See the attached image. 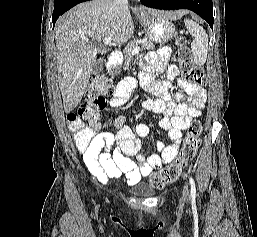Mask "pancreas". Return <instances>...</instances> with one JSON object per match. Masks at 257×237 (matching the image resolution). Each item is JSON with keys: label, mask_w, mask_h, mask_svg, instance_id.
<instances>
[{"label": "pancreas", "mask_w": 257, "mask_h": 237, "mask_svg": "<svg viewBox=\"0 0 257 237\" xmlns=\"http://www.w3.org/2000/svg\"><path fill=\"white\" fill-rule=\"evenodd\" d=\"M141 46L140 50H151L154 49V44L150 42L149 40H139L135 39L127 44V46L124 49V55H125V63H129L133 59V55L131 54L132 50L136 48L137 46Z\"/></svg>", "instance_id": "1"}]
</instances>
